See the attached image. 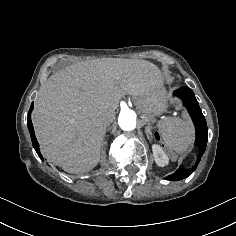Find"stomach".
Listing matches in <instances>:
<instances>
[{"label":"stomach","instance_id":"0dacf381","mask_svg":"<svg viewBox=\"0 0 236 236\" xmlns=\"http://www.w3.org/2000/svg\"><path fill=\"white\" fill-rule=\"evenodd\" d=\"M143 104L147 111H152L153 113H160L166 107V91L163 86H157L155 91L143 98Z\"/></svg>","mask_w":236,"mask_h":236}]
</instances>
